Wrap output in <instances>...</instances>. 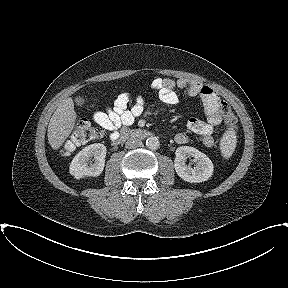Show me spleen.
Returning a JSON list of instances; mask_svg holds the SVG:
<instances>
[{"label": "spleen", "instance_id": "3e777b00", "mask_svg": "<svg viewBox=\"0 0 288 288\" xmlns=\"http://www.w3.org/2000/svg\"><path fill=\"white\" fill-rule=\"evenodd\" d=\"M221 153L225 158H229L236 147V135L233 131H227L221 139Z\"/></svg>", "mask_w": 288, "mask_h": 288}]
</instances>
